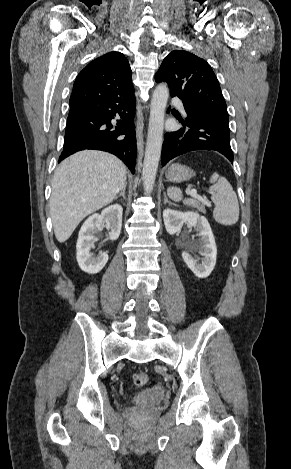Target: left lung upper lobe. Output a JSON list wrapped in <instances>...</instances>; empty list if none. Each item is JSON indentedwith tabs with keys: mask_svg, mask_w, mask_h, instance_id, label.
Masks as SVG:
<instances>
[{
	"mask_svg": "<svg viewBox=\"0 0 291 469\" xmlns=\"http://www.w3.org/2000/svg\"><path fill=\"white\" fill-rule=\"evenodd\" d=\"M167 82L171 96L179 97L206 113L228 119L227 106L211 66L202 58L174 50L163 60L155 75Z\"/></svg>",
	"mask_w": 291,
	"mask_h": 469,
	"instance_id": "obj_1",
	"label": "left lung upper lobe"
}]
</instances>
